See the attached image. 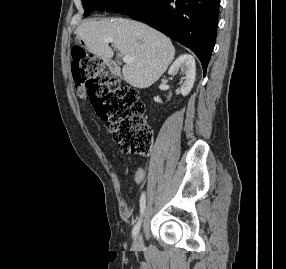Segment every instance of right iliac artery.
Returning <instances> with one entry per match:
<instances>
[{
    "mask_svg": "<svg viewBox=\"0 0 286 269\" xmlns=\"http://www.w3.org/2000/svg\"><path fill=\"white\" fill-rule=\"evenodd\" d=\"M145 207H146V195L143 192L141 194V197H140V212H141V215H140V218H139L138 222L133 227V230H132L133 237H136L138 232H139V230H140L141 222H142V216L144 214Z\"/></svg>",
    "mask_w": 286,
    "mask_h": 269,
    "instance_id": "obj_1",
    "label": "right iliac artery"
}]
</instances>
